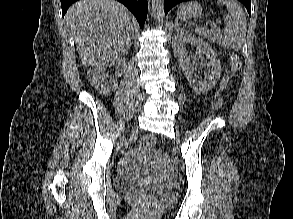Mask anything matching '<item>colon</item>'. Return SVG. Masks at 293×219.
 Here are the masks:
<instances>
[{"mask_svg":"<svg viewBox=\"0 0 293 219\" xmlns=\"http://www.w3.org/2000/svg\"><path fill=\"white\" fill-rule=\"evenodd\" d=\"M229 61H230V72L231 74L236 73L237 71H239V69L242 66V62L240 57L237 54H231L229 56ZM223 104V94H221L220 96L216 97L213 101H212V108L214 110L219 109ZM156 136L154 135H147L144 136L141 140H140V148L142 150H148L150 149L152 146H154L156 144Z\"/></svg>","mask_w":293,"mask_h":219,"instance_id":"obj_1","label":"colon"}]
</instances>
